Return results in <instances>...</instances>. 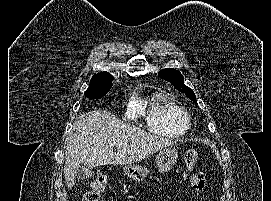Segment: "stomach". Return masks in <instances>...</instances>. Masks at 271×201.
<instances>
[{
	"label": "stomach",
	"instance_id": "stomach-1",
	"mask_svg": "<svg viewBox=\"0 0 271 201\" xmlns=\"http://www.w3.org/2000/svg\"><path fill=\"white\" fill-rule=\"evenodd\" d=\"M178 151L173 147L162 149L156 156V165L159 172L164 173L170 170L177 162ZM125 176L136 182H142L149 175L146 167L129 164L123 168Z\"/></svg>",
	"mask_w": 271,
	"mask_h": 201
}]
</instances>
